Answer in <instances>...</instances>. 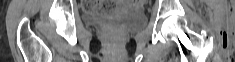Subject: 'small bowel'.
Here are the masks:
<instances>
[{
	"label": "small bowel",
	"mask_w": 235,
	"mask_h": 62,
	"mask_svg": "<svg viewBox=\"0 0 235 62\" xmlns=\"http://www.w3.org/2000/svg\"><path fill=\"white\" fill-rule=\"evenodd\" d=\"M94 9H97L98 7H108L106 10L102 11V12H107V11H110L112 10V6L109 4V5H106L105 3H101V2H95V3H91L90 4Z\"/></svg>",
	"instance_id": "small-bowel-1"
}]
</instances>
